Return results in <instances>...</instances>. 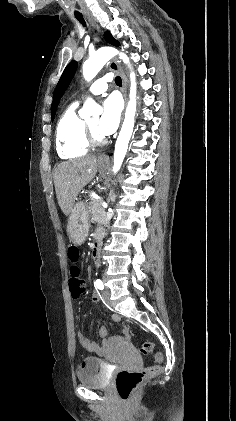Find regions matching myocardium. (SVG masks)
<instances>
[{
    "label": "myocardium",
    "mask_w": 236,
    "mask_h": 421,
    "mask_svg": "<svg viewBox=\"0 0 236 421\" xmlns=\"http://www.w3.org/2000/svg\"><path fill=\"white\" fill-rule=\"evenodd\" d=\"M81 134L85 141V143L89 147H98L102 146L106 142V138L104 136H96L93 131L91 130L87 120H83L81 125Z\"/></svg>",
    "instance_id": "f54148a6"
}]
</instances>
